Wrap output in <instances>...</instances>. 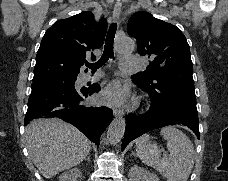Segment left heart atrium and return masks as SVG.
Here are the masks:
<instances>
[{
    "mask_svg": "<svg viewBox=\"0 0 228 181\" xmlns=\"http://www.w3.org/2000/svg\"><path fill=\"white\" fill-rule=\"evenodd\" d=\"M126 92V85H122L119 81H113L105 88L103 97L111 101L121 102Z\"/></svg>",
    "mask_w": 228,
    "mask_h": 181,
    "instance_id": "39dd6f15",
    "label": "left heart atrium"
}]
</instances>
